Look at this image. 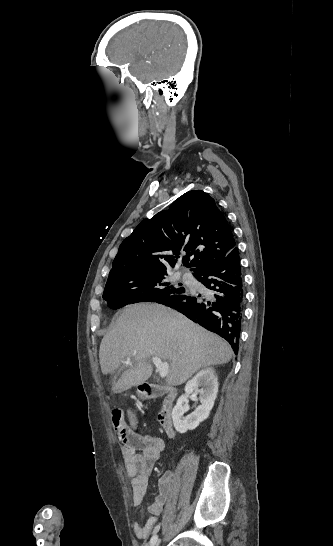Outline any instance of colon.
Returning a JSON list of instances; mask_svg holds the SVG:
<instances>
[{"label":"colon","instance_id":"1","mask_svg":"<svg viewBox=\"0 0 333 546\" xmlns=\"http://www.w3.org/2000/svg\"><path fill=\"white\" fill-rule=\"evenodd\" d=\"M112 423L121 446L132 449V441L130 438L129 428L127 426L122 410L115 409L112 411Z\"/></svg>","mask_w":333,"mask_h":546}]
</instances>
